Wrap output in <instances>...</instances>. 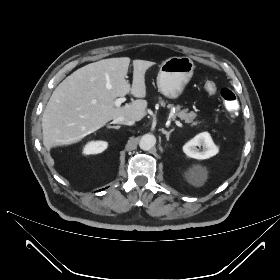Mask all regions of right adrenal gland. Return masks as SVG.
Here are the masks:
<instances>
[{"label":"right adrenal gland","instance_id":"obj_1","mask_svg":"<svg viewBox=\"0 0 280 280\" xmlns=\"http://www.w3.org/2000/svg\"><path fill=\"white\" fill-rule=\"evenodd\" d=\"M120 127H121L120 125H117V126H110V125H108L107 129H116V130H118Z\"/></svg>","mask_w":280,"mask_h":280}]
</instances>
